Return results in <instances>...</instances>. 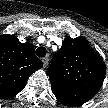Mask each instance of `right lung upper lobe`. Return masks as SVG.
Wrapping results in <instances>:
<instances>
[{"mask_svg": "<svg viewBox=\"0 0 108 108\" xmlns=\"http://www.w3.org/2000/svg\"><path fill=\"white\" fill-rule=\"evenodd\" d=\"M42 66L31 44L20 43L14 35L0 36V98L16 96Z\"/></svg>", "mask_w": 108, "mask_h": 108, "instance_id": "cb5924a9", "label": "right lung upper lobe"}]
</instances>
